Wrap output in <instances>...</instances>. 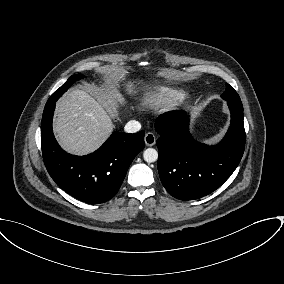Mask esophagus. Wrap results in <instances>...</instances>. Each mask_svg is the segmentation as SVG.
I'll list each match as a JSON object with an SVG mask.
<instances>
[{
  "label": "esophagus",
  "mask_w": 284,
  "mask_h": 284,
  "mask_svg": "<svg viewBox=\"0 0 284 284\" xmlns=\"http://www.w3.org/2000/svg\"><path fill=\"white\" fill-rule=\"evenodd\" d=\"M144 141L147 146H153L156 142V137L152 132H148L144 137Z\"/></svg>",
  "instance_id": "esophagus-1"
}]
</instances>
